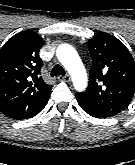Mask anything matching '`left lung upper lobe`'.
<instances>
[{
	"instance_id": "obj_1",
	"label": "left lung upper lobe",
	"mask_w": 135,
	"mask_h": 165,
	"mask_svg": "<svg viewBox=\"0 0 135 165\" xmlns=\"http://www.w3.org/2000/svg\"><path fill=\"white\" fill-rule=\"evenodd\" d=\"M92 57L88 88L77 93L79 104L114 116L124 110L135 93V62L125 45L107 33L87 42Z\"/></svg>"
}]
</instances>
